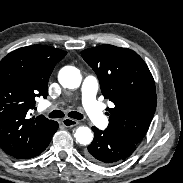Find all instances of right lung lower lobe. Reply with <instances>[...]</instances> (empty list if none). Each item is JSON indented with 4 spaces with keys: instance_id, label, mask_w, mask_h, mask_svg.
Wrapping results in <instances>:
<instances>
[{
    "instance_id": "obj_1",
    "label": "right lung lower lobe",
    "mask_w": 183,
    "mask_h": 183,
    "mask_svg": "<svg viewBox=\"0 0 183 183\" xmlns=\"http://www.w3.org/2000/svg\"><path fill=\"white\" fill-rule=\"evenodd\" d=\"M57 129H58V123L54 122V124L51 127L50 132L47 134L46 138L42 141V143L40 144L37 151L34 153V155L32 157L39 155L41 152H43L46 149V147L49 145V143L52 139V136L57 131Z\"/></svg>"
}]
</instances>
